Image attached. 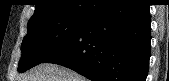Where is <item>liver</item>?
Instances as JSON below:
<instances>
[{
    "label": "liver",
    "instance_id": "6515ba94",
    "mask_svg": "<svg viewBox=\"0 0 169 81\" xmlns=\"http://www.w3.org/2000/svg\"><path fill=\"white\" fill-rule=\"evenodd\" d=\"M18 81H86V78L66 67L42 63L20 76Z\"/></svg>",
    "mask_w": 169,
    "mask_h": 81
}]
</instances>
